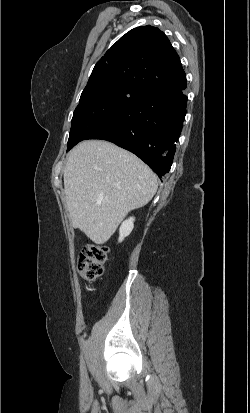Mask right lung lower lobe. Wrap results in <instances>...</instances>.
I'll return each instance as SVG.
<instances>
[{
	"instance_id": "right-lung-lower-lobe-1",
	"label": "right lung lower lobe",
	"mask_w": 250,
	"mask_h": 413,
	"mask_svg": "<svg viewBox=\"0 0 250 413\" xmlns=\"http://www.w3.org/2000/svg\"><path fill=\"white\" fill-rule=\"evenodd\" d=\"M186 82L141 93L86 139L110 141L137 155L160 178L169 172L186 115Z\"/></svg>"
}]
</instances>
